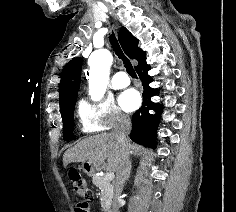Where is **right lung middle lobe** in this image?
I'll use <instances>...</instances> for the list:
<instances>
[{"mask_svg": "<svg viewBox=\"0 0 236 212\" xmlns=\"http://www.w3.org/2000/svg\"><path fill=\"white\" fill-rule=\"evenodd\" d=\"M76 99L77 98L67 101L65 106L62 109H60L64 124L63 138L65 140H71L75 138V135L73 134V129H74L73 114H74Z\"/></svg>", "mask_w": 236, "mask_h": 212, "instance_id": "dd1d6c3e", "label": "right lung middle lobe"}]
</instances>
